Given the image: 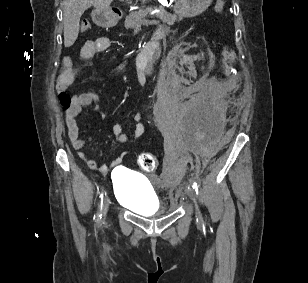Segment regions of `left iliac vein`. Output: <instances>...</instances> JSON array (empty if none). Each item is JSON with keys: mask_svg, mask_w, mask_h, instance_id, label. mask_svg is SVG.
<instances>
[{"mask_svg": "<svg viewBox=\"0 0 308 283\" xmlns=\"http://www.w3.org/2000/svg\"><path fill=\"white\" fill-rule=\"evenodd\" d=\"M186 194L187 196L194 202L196 208H197V202H196V194L195 190L191 188L190 186L186 187ZM196 217L198 220H201V215L198 209H196Z\"/></svg>", "mask_w": 308, "mask_h": 283, "instance_id": "4c4485c4", "label": "left iliac vein"}]
</instances>
